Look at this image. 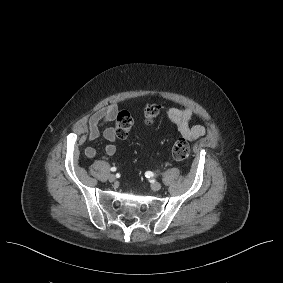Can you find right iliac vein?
I'll list each match as a JSON object with an SVG mask.
<instances>
[{
  "label": "right iliac vein",
  "instance_id": "1",
  "mask_svg": "<svg viewBox=\"0 0 283 283\" xmlns=\"http://www.w3.org/2000/svg\"><path fill=\"white\" fill-rule=\"evenodd\" d=\"M108 179H109L110 182H115L116 176L114 174H111V175H109Z\"/></svg>",
  "mask_w": 283,
  "mask_h": 283
}]
</instances>
